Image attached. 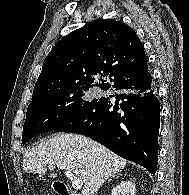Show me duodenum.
I'll list each match as a JSON object with an SVG mask.
<instances>
[{"label":"duodenum","mask_w":189,"mask_h":195,"mask_svg":"<svg viewBox=\"0 0 189 195\" xmlns=\"http://www.w3.org/2000/svg\"><path fill=\"white\" fill-rule=\"evenodd\" d=\"M54 189L58 195H78L73 192H70L62 182H55Z\"/></svg>","instance_id":"duodenum-1"}]
</instances>
